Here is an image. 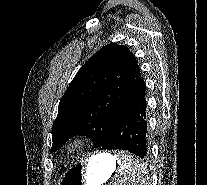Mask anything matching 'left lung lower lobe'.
<instances>
[{
    "instance_id": "obj_1",
    "label": "left lung lower lobe",
    "mask_w": 207,
    "mask_h": 185,
    "mask_svg": "<svg viewBox=\"0 0 207 185\" xmlns=\"http://www.w3.org/2000/svg\"><path fill=\"white\" fill-rule=\"evenodd\" d=\"M145 91L119 113L101 150H127L141 158L147 156Z\"/></svg>"
}]
</instances>
